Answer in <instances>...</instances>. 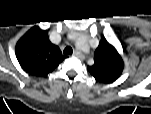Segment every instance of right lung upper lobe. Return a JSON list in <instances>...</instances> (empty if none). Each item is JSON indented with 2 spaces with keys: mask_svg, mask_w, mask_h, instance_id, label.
Here are the masks:
<instances>
[{
  "mask_svg": "<svg viewBox=\"0 0 151 114\" xmlns=\"http://www.w3.org/2000/svg\"><path fill=\"white\" fill-rule=\"evenodd\" d=\"M15 52L21 67L35 76L49 74L65 58L50 42L47 30H29L17 42Z\"/></svg>",
  "mask_w": 151,
  "mask_h": 114,
  "instance_id": "1",
  "label": "right lung upper lobe"
}]
</instances>
